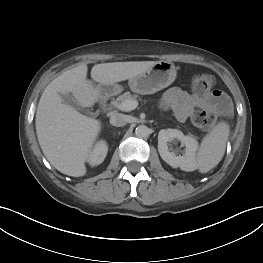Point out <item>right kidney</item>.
I'll use <instances>...</instances> for the list:
<instances>
[{"label": "right kidney", "instance_id": "1", "mask_svg": "<svg viewBox=\"0 0 263 263\" xmlns=\"http://www.w3.org/2000/svg\"><path fill=\"white\" fill-rule=\"evenodd\" d=\"M107 151H108V146L104 140L97 142L95 147L89 154L88 157L89 164L91 166L101 164L107 155Z\"/></svg>", "mask_w": 263, "mask_h": 263}]
</instances>
